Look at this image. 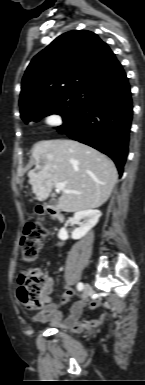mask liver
Wrapping results in <instances>:
<instances>
[{
	"instance_id": "6515ba94",
	"label": "liver",
	"mask_w": 145,
	"mask_h": 385,
	"mask_svg": "<svg viewBox=\"0 0 145 385\" xmlns=\"http://www.w3.org/2000/svg\"><path fill=\"white\" fill-rule=\"evenodd\" d=\"M32 164L28 172L39 201H45L56 182H64L65 189L80 194L63 193L58 208L77 212L98 208L110 197L116 184L117 169L106 155L74 140H44L32 150Z\"/></svg>"
}]
</instances>
